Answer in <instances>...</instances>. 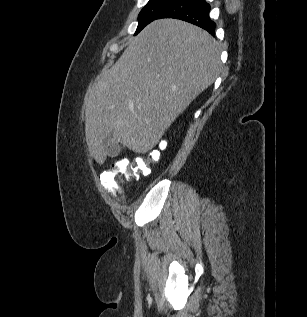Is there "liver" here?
<instances>
[{"label": "liver", "instance_id": "1", "mask_svg": "<svg viewBox=\"0 0 307 317\" xmlns=\"http://www.w3.org/2000/svg\"><path fill=\"white\" fill-rule=\"evenodd\" d=\"M220 68L219 45L207 31L176 19L152 22L86 93L90 154L103 164L109 136L110 144L148 152Z\"/></svg>", "mask_w": 307, "mask_h": 317}]
</instances>
